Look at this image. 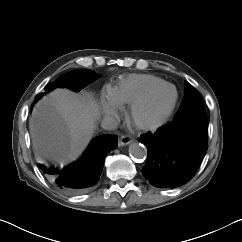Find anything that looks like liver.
Returning a JSON list of instances; mask_svg holds the SVG:
<instances>
[{
	"mask_svg": "<svg viewBox=\"0 0 242 242\" xmlns=\"http://www.w3.org/2000/svg\"><path fill=\"white\" fill-rule=\"evenodd\" d=\"M96 116L95 106L84 97L64 89L53 91L32 112L35 150L63 163L75 159L94 133Z\"/></svg>",
	"mask_w": 242,
	"mask_h": 242,
	"instance_id": "obj_1",
	"label": "liver"
}]
</instances>
